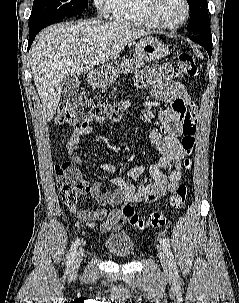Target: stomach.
Masks as SVG:
<instances>
[{"label":"stomach","instance_id":"0dacf381","mask_svg":"<svg viewBox=\"0 0 239 303\" xmlns=\"http://www.w3.org/2000/svg\"><path fill=\"white\" fill-rule=\"evenodd\" d=\"M136 54L146 61H157L168 54V46L151 36H145L136 43ZM115 64V63H114ZM113 63L103 65L89 75V83L97 87H105L118 78L119 70Z\"/></svg>","mask_w":239,"mask_h":303}]
</instances>
